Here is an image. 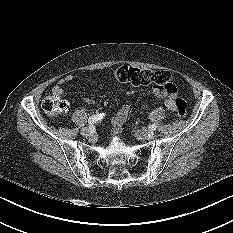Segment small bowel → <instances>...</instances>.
<instances>
[{"label": "small bowel", "instance_id": "c3829d8e", "mask_svg": "<svg viewBox=\"0 0 233 233\" xmlns=\"http://www.w3.org/2000/svg\"><path fill=\"white\" fill-rule=\"evenodd\" d=\"M73 76L68 75L62 79L59 80L58 84L55 85L52 89L53 95H58L61 96L64 93L63 85L72 81ZM152 92L155 96L159 98L164 99V105L171 111L175 112V104H174V96L175 93H169L165 90L159 89V88H153ZM87 103H91L92 101L88 98L84 99ZM130 111V106L129 105H123L115 117L112 120V123L114 125V135H119L121 133V126L125 122L128 114Z\"/></svg>", "mask_w": 233, "mask_h": 233}]
</instances>
